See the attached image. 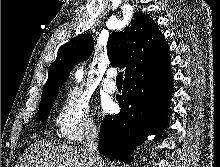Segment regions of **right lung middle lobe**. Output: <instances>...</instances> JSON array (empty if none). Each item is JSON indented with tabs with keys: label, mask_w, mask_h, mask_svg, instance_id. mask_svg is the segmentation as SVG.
<instances>
[{
	"label": "right lung middle lobe",
	"mask_w": 220,
	"mask_h": 167,
	"mask_svg": "<svg viewBox=\"0 0 220 167\" xmlns=\"http://www.w3.org/2000/svg\"><path fill=\"white\" fill-rule=\"evenodd\" d=\"M57 95H58V92L40 102L39 113L37 116L38 121H46L47 120V118L50 114L52 105H53Z\"/></svg>",
	"instance_id": "dd1d6c3e"
}]
</instances>
